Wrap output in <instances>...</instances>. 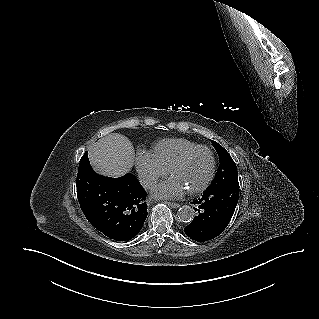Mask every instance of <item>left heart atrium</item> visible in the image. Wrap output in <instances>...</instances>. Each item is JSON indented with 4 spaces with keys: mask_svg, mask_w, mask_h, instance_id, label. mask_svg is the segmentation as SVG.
<instances>
[{
    "mask_svg": "<svg viewBox=\"0 0 319 319\" xmlns=\"http://www.w3.org/2000/svg\"><path fill=\"white\" fill-rule=\"evenodd\" d=\"M185 192V187L171 177L154 187L152 195L156 198L172 199L182 196Z\"/></svg>",
    "mask_w": 319,
    "mask_h": 319,
    "instance_id": "1",
    "label": "left heart atrium"
}]
</instances>
